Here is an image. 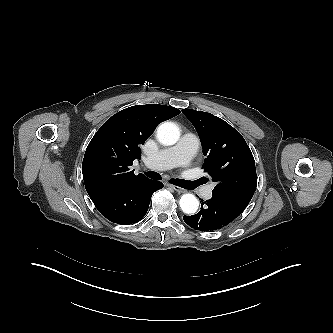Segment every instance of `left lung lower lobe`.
I'll list each match as a JSON object with an SVG mask.
<instances>
[{"instance_id": "1", "label": "left lung lower lobe", "mask_w": 333, "mask_h": 333, "mask_svg": "<svg viewBox=\"0 0 333 333\" xmlns=\"http://www.w3.org/2000/svg\"><path fill=\"white\" fill-rule=\"evenodd\" d=\"M243 211L213 195L203 202L201 210L192 216H184L186 224L195 230L215 231L232 222Z\"/></svg>"}]
</instances>
